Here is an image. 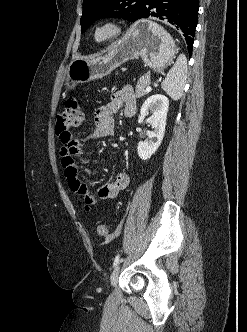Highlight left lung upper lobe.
<instances>
[{
    "label": "left lung upper lobe",
    "instance_id": "1",
    "mask_svg": "<svg viewBox=\"0 0 247 332\" xmlns=\"http://www.w3.org/2000/svg\"><path fill=\"white\" fill-rule=\"evenodd\" d=\"M147 0H84L80 20L81 32L103 17H118L136 21Z\"/></svg>",
    "mask_w": 247,
    "mask_h": 332
}]
</instances>
